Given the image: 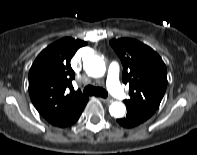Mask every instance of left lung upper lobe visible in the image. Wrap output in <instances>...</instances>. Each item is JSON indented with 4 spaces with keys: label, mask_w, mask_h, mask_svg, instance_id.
<instances>
[{
    "label": "left lung upper lobe",
    "mask_w": 197,
    "mask_h": 155,
    "mask_svg": "<svg viewBox=\"0 0 197 155\" xmlns=\"http://www.w3.org/2000/svg\"><path fill=\"white\" fill-rule=\"evenodd\" d=\"M123 65L122 80L129 84L127 110L149 119L158 109L167 87V70L149 46L130 38L110 41Z\"/></svg>",
    "instance_id": "1"
}]
</instances>
